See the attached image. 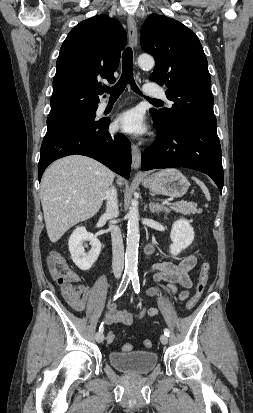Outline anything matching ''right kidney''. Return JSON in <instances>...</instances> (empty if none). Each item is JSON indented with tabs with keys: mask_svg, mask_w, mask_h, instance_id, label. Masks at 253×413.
Wrapping results in <instances>:
<instances>
[{
	"mask_svg": "<svg viewBox=\"0 0 253 413\" xmlns=\"http://www.w3.org/2000/svg\"><path fill=\"white\" fill-rule=\"evenodd\" d=\"M89 241L91 249L86 253L83 243ZM71 258L75 265L83 270H89L98 259L101 252V243L97 237L87 232L85 227H77L68 241Z\"/></svg>",
	"mask_w": 253,
	"mask_h": 413,
	"instance_id": "ca27d5eb",
	"label": "right kidney"
}]
</instances>
